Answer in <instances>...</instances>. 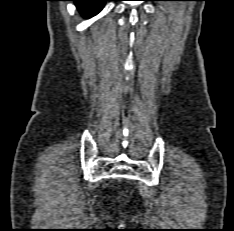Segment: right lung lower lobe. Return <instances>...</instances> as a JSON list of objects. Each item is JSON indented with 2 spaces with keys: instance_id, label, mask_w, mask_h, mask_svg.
Instances as JSON below:
<instances>
[{
  "instance_id": "98d812e1",
  "label": "right lung lower lobe",
  "mask_w": 234,
  "mask_h": 231,
  "mask_svg": "<svg viewBox=\"0 0 234 231\" xmlns=\"http://www.w3.org/2000/svg\"><path fill=\"white\" fill-rule=\"evenodd\" d=\"M84 17L89 18L101 11L106 1L109 0H71Z\"/></svg>"
}]
</instances>
